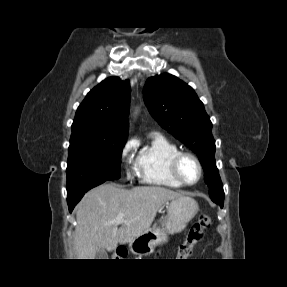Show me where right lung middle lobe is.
Returning a JSON list of instances; mask_svg holds the SVG:
<instances>
[{"label":"right lung middle lobe","mask_w":287,"mask_h":287,"mask_svg":"<svg viewBox=\"0 0 287 287\" xmlns=\"http://www.w3.org/2000/svg\"><path fill=\"white\" fill-rule=\"evenodd\" d=\"M125 137H97L88 130L72 132L67 161V193L96 181L120 178Z\"/></svg>","instance_id":"dd1d6c3e"}]
</instances>
